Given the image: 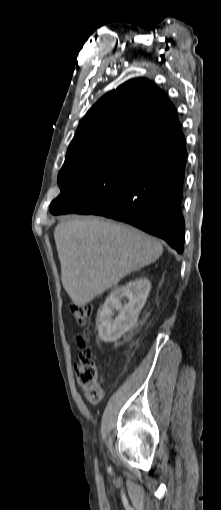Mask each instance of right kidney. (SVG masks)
<instances>
[{
	"label": "right kidney",
	"mask_w": 221,
	"mask_h": 510,
	"mask_svg": "<svg viewBox=\"0 0 221 510\" xmlns=\"http://www.w3.org/2000/svg\"><path fill=\"white\" fill-rule=\"evenodd\" d=\"M150 289V281L146 278H139L111 292L105 300L96 322L101 341H117L136 324ZM125 297L128 302L123 306L121 300ZM114 310L118 312L115 319H113Z\"/></svg>",
	"instance_id": "obj_1"
}]
</instances>
